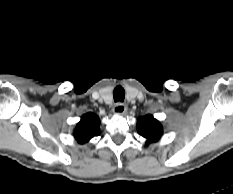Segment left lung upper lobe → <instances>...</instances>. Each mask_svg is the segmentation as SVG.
I'll return each instance as SVG.
<instances>
[{
  "label": "left lung upper lobe",
  "mask_w": 233,
  "mask_h": 194,
  "mask_svg": "<svg viewBox=\"0 0 233 194\" xmlns=\"http://www.w3.org/2000/svg\"><path fill=\"white\" fill-rule=\"evenodd\" d=\"M137 131L147 139L146 144L158 141L163 134L162 126L152 115H146L138 119Z\"/></svg>",
  "instance_id": "obj_1"
}]
</instances>
